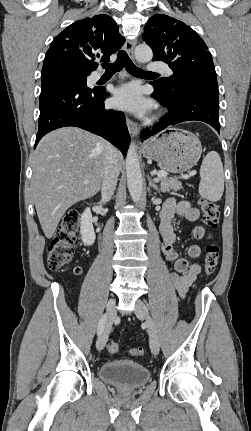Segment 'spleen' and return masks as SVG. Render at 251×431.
I'll use <instances>...</instances> for the list:
<instances>
[{"mask_svg": "<svg viewBox=\"0 0 251 431\" xmlns=\"http://www.w3.org/2000/svg\"><path fill=\"white\" fill-rule=\"evenodd\" d=\"M199 194L209 201L221 199L224 191V172L221 158L216 151L209 152L200 168Z\"/></svg>", "mask_w": 251, "mask_h": 431, "instance_id": "obj_1", "label": "spleen"}]
</instances>
